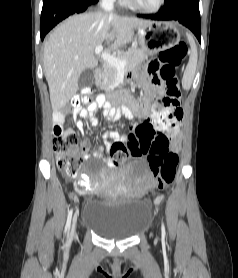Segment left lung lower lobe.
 I'll return each mask as SVG.
<instances>
[{"label": "left lung lower lobe", "instance_id": "0a47b994", "mask_svg": "<svg viewBox=\"0 0 238 278\" xmlns=\"http://www.w3.org/2000/svg\"><path fill=\"white\" fill-rule=\"evenodd\" d=\"M142 17L151 20L178 21L188 27L201 42L199 0H165L162 11Z\"/></svg>", "mask_w": 238, "mask_h": 278}]
</instances>
